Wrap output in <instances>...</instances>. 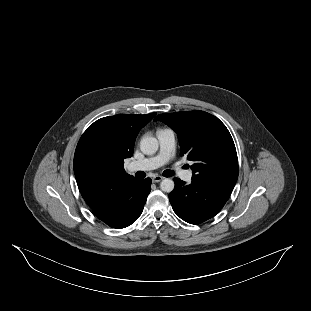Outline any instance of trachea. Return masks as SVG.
Returning <instances> with one entry per match:
<instances>
[{
	"mask_svg": "<svg viewBox=\"0 0 311 311\" xmlns=\"http://www.w3.org/2000/svg\"><path fill=\"white\" fill-rule=\"evenodd\" d=\"M163 175H164L165 177H171V176L174 175V171L166 170V171H164Z\"/></svg>",
	"mask_w": 311,
	"mask_h": 311,
	"instance_id": "1",
	"label": "trachea"
}]
</instances>
